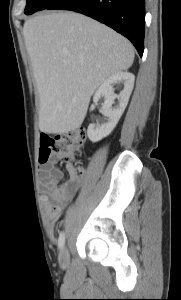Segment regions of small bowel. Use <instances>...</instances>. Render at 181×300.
Here are the masks:
<instances>
[{
  "mask_svg": "<svg viewBox=\"0 0 181 300\" xmlns=\"http://www.w3.org/2000/svg\"><path fill=\"white\" fill-rule=\"evenodd\" d=\"M43 163L39 183L43 191L44 211L51 222H56L62 210L79 189L81 180L73 178L70 173L69 178L63 180V172L55 165L54 160Z\"/></svg>",
  "mask_w": 181,
  "mask_h": 300,
  "instance_id": "1",
  "label": "small bowel"
}]
</instances>
